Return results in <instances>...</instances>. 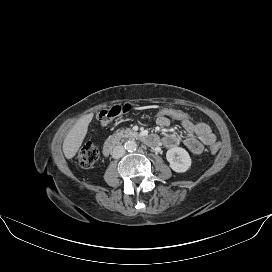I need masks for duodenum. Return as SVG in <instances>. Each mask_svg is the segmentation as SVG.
I'll return each instance as SVG.
<instances>
[{"label":"duodenum","instance_id":"obj_1","mask_svg":"<svg viewBox=\"0 0 272 272\" xmlns=\"http://www.w3.org/2000/svg\"><path fill=\"white\" fill-rule=\"evenodd\" d=\"M129 137L137 140H141L151 146H156L159 143V139L154 134H144L139 132H132L128 134ZM122 139V134H116L109 137L103 146V154L109 156L114 148L120 143Z\"/></svg>","mask_w":272,"mask_h":272}]
</instances>
